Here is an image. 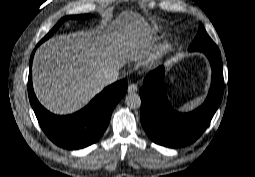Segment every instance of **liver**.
<instances>
[{"label":"liver","instance_id":"obj_1","mask_svg":"<svg viewBox=\"0 0 255 177\" xmlns=\"http://www.w3.org/2000/svg\"><path fill=\"white\" fill-rule=\"evenodd\" d=\"M139 26L140 17L131 13L105 28L60 35L45 42L33 62L39 100L57 113L85 106L103 89L100 77L105 70L117 69L137 53H146L152 39Z\"/></svg>","mask_w":255,"mask_h":177}]
</instances>
